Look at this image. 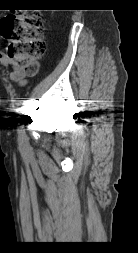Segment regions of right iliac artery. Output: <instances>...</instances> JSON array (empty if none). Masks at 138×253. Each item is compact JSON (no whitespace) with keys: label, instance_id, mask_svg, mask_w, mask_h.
Listing matches in <instances>:
<instances>
[{"label":"right iliac artery","instance_id":"right-iliac-artery-1","mask_svg":"<svg viewBox=\"0 0 138 253\" xmlns=\"http://www.w3.org/2000/svg\"><path fill=\"white\" fill-rule=\"evenodd\" d=\"M28 108H25L21 114V118L19 120V124H18V132H19V139H25L26 138V121H27V117H28Z\"/></svg>","mask_w":138,"mask_h":253}]
</instances>
